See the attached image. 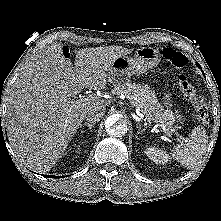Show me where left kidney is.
I'll return each mask as SVG.
<instances>
[{
  "instance_id": "left-kidney-1",
  "label": "left kidney",
  "mask_w": 221,
  "mask_h": 221,
  "mask_svg": "<svg viewBox=\"0 0 221 221\" xmlns=\"http://www.w3.org/2000/svg\"><path fill=\"white\" fill-rule=\"evenodd\" d=\"M145 154L156 164H166L170 159L166 152L155 146L146 147Z\"/></svg>"
}]
</instances>
